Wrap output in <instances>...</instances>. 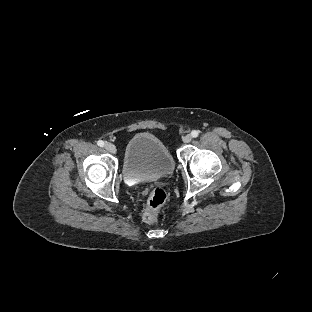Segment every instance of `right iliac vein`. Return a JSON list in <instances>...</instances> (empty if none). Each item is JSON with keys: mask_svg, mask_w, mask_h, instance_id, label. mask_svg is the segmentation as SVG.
<instances>
[{"mask_svg": "<svg viewBox=\"0 0 312 312\" xmlns=\"http://www.w3.org/2000/svg\"><path fill=\"white\" fill-rule=\"evenodd\" d=\"M104 147L108 152L113 153V154L116 153V147L114 144L108 142L105 144Z\"/></svg>", "mask_w": 312, "mask_h": 312, "instance_id": "right-iliac-vein-1", "label": "right iliac vein"}]
</instances>
